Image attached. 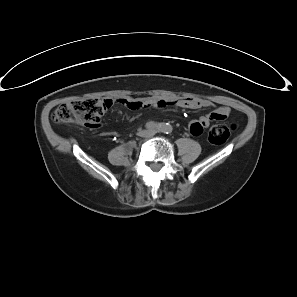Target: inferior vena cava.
Segmentation results:
<instances>
[{
  "label": "inferior vena cava",
  "instance_id": "1",
  "mask_svg": "<svg viewBox=\"0 0 297 297\" xmlns=\"http://www.w3.org/2000/svg\"><path fill=\"white\" fill-rule=\"evenodd\" d=\"M155 134V131H150L149 133H148V135H150V136H153Z\"/></svg>",
  "mask_w": 297,
  "mask_h": 297
}]
</instances>
